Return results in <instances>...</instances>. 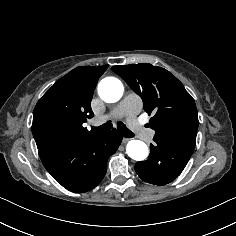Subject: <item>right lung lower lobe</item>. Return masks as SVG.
Listing matches in <instances>:
<instances>
[{
  "label": "right lung lower lobe",
  "mask_w": 236,
  "mask_h": 236,
  "mask_svg": "<svg viewBox=\"0 0 236 236\" xmlns=\"http://www.w3.org/2000/svg\"><path fill=\"white\" fill-rule=\"evenodd\" d=\"M122 136L116 129L86 139L67 142L40 156L53 178L72 192H86L104 178L108 158L116 152Z\"/></svg>",
  "instance_id": "obj_1"
}]
</instances>
